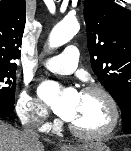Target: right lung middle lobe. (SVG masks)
<instances>
[{
  "mask_svg": "<svg viewBox=\"0 0 131 151\" xmlns=\"http://www.w3.org/2000/svg\"><path fill=\"white\" fill-rule=\"evenodd\" d=\"M16 67H0V104L14 106Z\"/></svg>",
  "mask_w": 131,
  "mask_h": 151,
  "instance_id": "1",
  "label": "right lung middle lobe"
}]
</instances>
